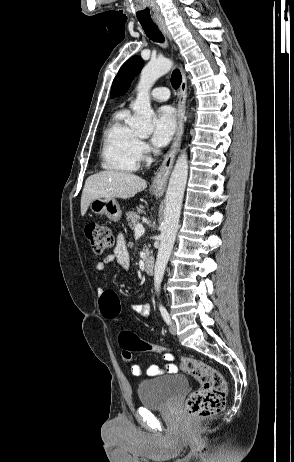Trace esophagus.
<instances>
[{"instance_id": "34e87169", "label": "esophagus", "mask_w": 294, "mask_h": 462, "mask_svg": "<svg viewBox=\"0 0 294 462\" xmlns=\"http://www.w3.org/2000/svg\"><path fill=\"white\" fill-rule=\"evenodd\" d=\"M160 30L167 36V38L172 41V36L167 29L164 21L157 22ZM182 81L178 93V104H177V131L174 136L172 145L168 152L166 153L164 160L159 167L156 175L152 180L151 189L155 192L163 193L166 189L167 182L171 170L173 168L175 157L179 151L181 139L184 131V122H185V108H186V99H187V79L184 70H181Z\"/></svg>"}]
</instances>
